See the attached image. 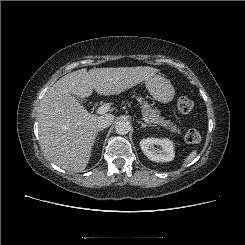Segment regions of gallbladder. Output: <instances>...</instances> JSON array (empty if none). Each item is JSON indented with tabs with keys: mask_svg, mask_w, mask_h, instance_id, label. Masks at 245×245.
<instances>
[{
	"mask_svg": "<svg viewBox=\"0 0 245 245\" xmlns=\"http://www.w3.org/2000/svg\"><path fill=\"white\" fill-rule=\"evenodd\" d=\"M74 97H75L79 102H82V101H83L80 97H78V96H76V95H74Z\"/></svg>",
	"mask_w": 245,
	"mask_h": 245,
	"instance_id": "1",
	"label": "gallbladder"
}]
</instances>
